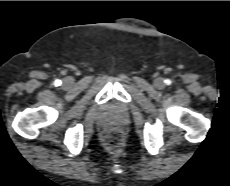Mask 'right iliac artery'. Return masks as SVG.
Here are the masks:
<instances>
[{"label": "right iliac artery", "mask_w": 230, "mask_h": 186, "mask_svg": "<svg viewBox=\"0 0 230 186\" xmlns=\"http://www.w3.org/2000/svg\"><path fill=\"white\" fill-rule=\"evenodd\" d=\"M56 83H57V84H60V83H61V81H60V80H56Z\"/></svg>", "instance_id": "right-iliac-artery-1"}]
</instances>
